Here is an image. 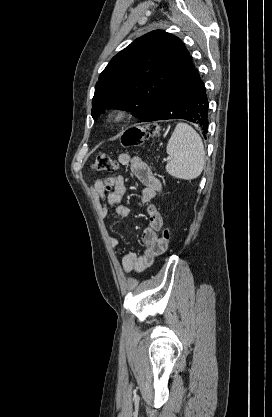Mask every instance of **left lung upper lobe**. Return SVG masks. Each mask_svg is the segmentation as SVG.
Wrapping results in <instances>:
<instances>
[{
	"label": "left lung upper lobe",
	"instance_id": "5c2ea615",
	"mask_svg": "<svg viewBox=\"0 0 272 417\" xmlns=\"http://www.w3.org/2000/svg\"><path fill=\"white\" fill-rule=\"evenodd\" d=\"M190 62L183 42L170 33L156 30L137 38L100 74L93 97V118L114 107L130 111L141 121Z\"/></svg>",
	"mask_w": 272,
	"mask_h": 417
}]
</instances>
